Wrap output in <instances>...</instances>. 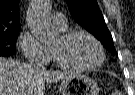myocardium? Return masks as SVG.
Instances as JSON below:
<instances>
[{
    "label": "myocardium",
    "instance_id": "1",
    "mask_svg": "<svg viewBox=\"0 0 135 95\" xmlns=\"http://www.w3.org/2000/svg\"><path fill=\"white\" fill-rule=\"evenodd\" d=\"M77 35H84L94 42V44L97 46L99 53H100L99 61L96 64L89 65V66L68 63V62L62 60L60 58V56L57 54V52L52 48L51 52H52L55 62L62 68L79 70V71H91V70H95V69H98L99 67H101L104 64L105 59H106L105 49H104L102 43L93 34H91L88 31H85V30L74 29V30L62 32L60 38L63 42H66Z\"/></svg>",
    "mask_w": 135,
    "mask_h": 95
}]
</instances>
